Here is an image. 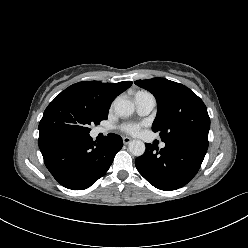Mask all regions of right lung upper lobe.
<instances>
[{
    "instance_id": "cb5924a9",
    "label": "right lung upper lobe",
    "mask_w": 248,
    "mask_h": 248,
    "mask_svg": "<svg viewBox=\"0 0 248 248\" xmlns=\"http://www.w3.org/2000/svg\"><path fill=\"white\" fill-rule=\"evenodd\" d=\"M131 84V81L119 83L78 82L62 91L55 100L71 101L87 108L99 117L108 118V111L112 101L129 88Z\"/></svg>"
}]
</instances>
